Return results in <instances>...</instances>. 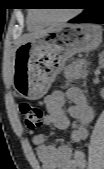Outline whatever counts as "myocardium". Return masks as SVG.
<instances>
[{
  "label": "myocardium",
  "mask_w": 104,
  "mask_h": 169,
  "mask_svg": "<svg viewBox=\"0 0 104 169\" xmlns=\"http://www.w3.org/2000/svg\"><path fill=\"white\" fill-rule=\"evenodd\" d=\"M74 15H75V12L73 11V12H70L69 14H66L63 17L55 19V20H48V19H45L44 17L39 16V15L36 17L39 19V21H41L44 24H57V23H61V22H65V21L70 20L71 18L74 17Z\"/></svg>",
  "instance_id": "myocardium-1"
}]
</instances>
